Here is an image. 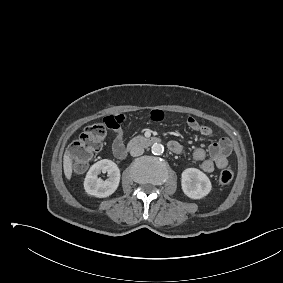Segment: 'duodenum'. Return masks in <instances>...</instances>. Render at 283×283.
I'll list each match as a JSON object with an SVG mask.
<instances>
[{
    "label": "duodenum",
    "instance_id": "obj_1",
    "mask_svg": "<svg viewBox=\"0 0 283 283\" xmlns=\"http://www.w3.org/2000/svg\"><path fill=\"white\" fill-rule=\"evenodd\" d=\"M160 142V139L157 137H137L132 139L127 147H124L122 154H121V159L124 158L127 154V152L131 149L137 148V147H149L153 144H156Z\"/></svg>",
    "mask_w": 283,
    "mask_h": 283
}]
</instances>
